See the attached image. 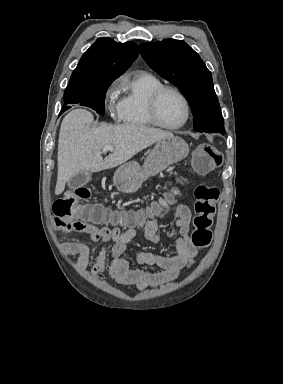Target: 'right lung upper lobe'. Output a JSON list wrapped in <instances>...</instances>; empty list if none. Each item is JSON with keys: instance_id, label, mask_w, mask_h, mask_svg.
<instances>
[{"instance_id": "cb5924a9", "label": "right lung upper lobe", "mask_w": 283, "mask_h": 384, "mask_svg": "<svg viewBox=\"0 0 283 384\" xmlns=\"http://www.w3.org/2000/svg\"><path fill=\"white\" fill-rule=\"evenodd\" d=\"M137 56L138 46L133 42L117 43L107 37L99 38L81 57L68 88L112 83Z\"/></svg>"}]
</instances>
